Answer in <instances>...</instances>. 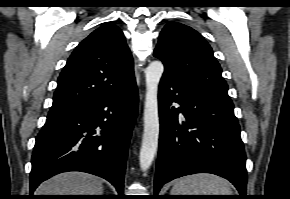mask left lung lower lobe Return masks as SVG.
Here are the masks:
<instances>
[{
    "mask_svg": "<svg viewBox=\"0 0 290 199\" xmlns=\"http://www.w3.org/2000/svg\"><path fill=\"white\" fill-rule=\"evenodd\" d=\"M233 109L230 97L163 74L155 195L175 178L212 173L228 179L246 198V156Z\"/></svg>",
    "mask_w": 290,
    "mask_h": 199,
    "instance_id": "left-lung-lower-lobe-1",
    "label": "left lung lower lobe"
}]
</instances>
